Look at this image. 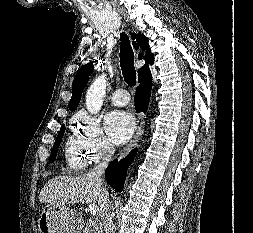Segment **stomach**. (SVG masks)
Returning a JSON list of instances; mask_svg holds the SVG:
<instances>
[{
	"instance_id": "0dacf381",
	"label": "stomach",
	"mask_w": 253,
	"mask_h": 233,
	"mask_svg": "<svg viewBox=\"0 0 253 233\" xmlns=\"http://www.w3.org/2000/svg\"><path fill=\"white\" fill-rule=\"evenodd\" d=\"M75 214L65 205L48 203L38 220L40 233H78Z\"/></svg>"
}]
</instances>
